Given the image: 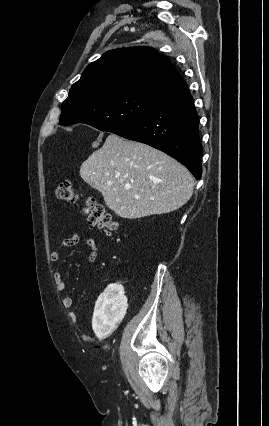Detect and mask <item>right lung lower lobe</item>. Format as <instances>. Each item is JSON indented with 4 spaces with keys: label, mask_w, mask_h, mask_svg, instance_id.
I'll list each match as a JSON object with an SVG mask.
<instances>
[{
    "label": "right lung lower lobe",
    "mask_w": 269,
    "mask_h": 426,
    "mask_svg": "<svg viewBox=\"0 0 269 426\" xmlns=\"http://www.w3.org/2000/svg\"><path fill=\"white\" fill-rule=\"evenodd\" d=\"M112 133L165 152L197 180L201 178L203 148L198 115L184 80L164 87L144 115Z\"/></svg>",
    "instance_id": "1"
}]
</instances>
